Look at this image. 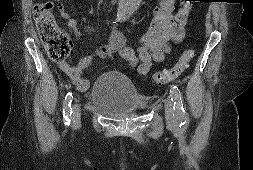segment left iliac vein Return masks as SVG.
Instances as JSON below:
<instances>
[{
	"label": "left iliac vein",
	"instance_id": "obj_1",
	"mask_svg": "<svg viewBox=\"0 0 253 170\" xmlns=\"http://www.w3.org/2000/svg\"><path fill=\"white\" fill-rule=\"evenodd\" d=\"M173 107V101L168 98L165 102V118L169 127H176L178 123Z\"/></svg>",
	"mask_w": 253,
	"mask_h": 170
}]
</instances>
